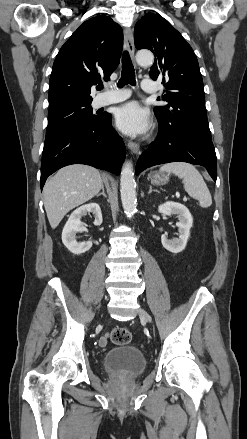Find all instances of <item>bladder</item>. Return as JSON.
Wrapping results in <instances>:
<instances>
[{
  "instance_id": "31cf9c89",
  "label": "bladder",
  "mask_w": 247,
  "mask_h": 439,
  "mask_svg": "<svg viewBox=\"0 0 247 439\" xmlns=\"http://www.w3.org/2000/svg\"><path fill=\"white\" fill-rule=\"evenodd\" d=\"M105 370L115 377H136L146 367L144 353L137 347L124 346L108 351L103 358Z\"/></svg>"
}]
</instances>
